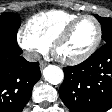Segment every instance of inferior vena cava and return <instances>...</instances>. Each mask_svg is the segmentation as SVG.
<instances>
[{
    "label": "inferior vena cava",
    "mask_w": 112,
    "mask_h": 112,
    "mask_svg": "<svg viewBox=\"0 0 112 112\" xmlns=\"http://www.w3.org/2000/svg\"><path fill=\"white\" fill-rule=\"evenodd\" d=\"M23 57L30 62H35L38 61L40 59V55L37 52L34 51H29L26 52Z\"/></svg>",
    "instance_id": "obj_1"
}]
</instances>
